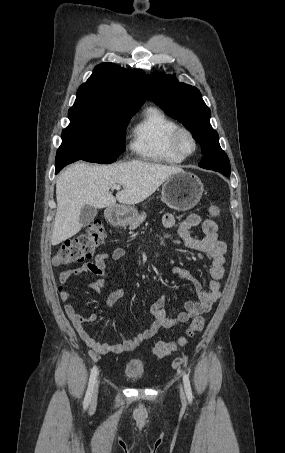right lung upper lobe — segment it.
<instances>
[{
    "label": "right lung upper lobe",
    "instance_id": "1",
    "mask_svg": "<svg viewBox=\"0 0 285 453\" xmlns=\"http://www.w3.org/2000/svg\"><path fill=\"white\" fill-rule=\"evenodd\" d=\"M148 87L149 81L144 71L126 70L113 63H102L79 87L73 106L138 111L145 102Z\"/></svg>",
    "mask_w": 285,
    "mask_h": 453
}]
</instances>
